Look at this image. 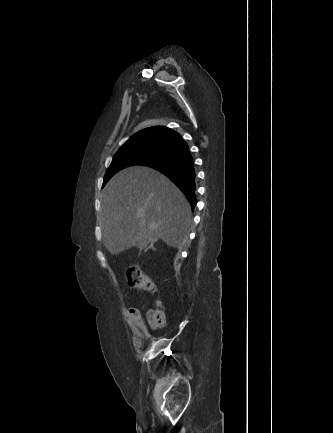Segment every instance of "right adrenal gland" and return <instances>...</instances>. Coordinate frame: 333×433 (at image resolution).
<instances>
[{
    "label": "right adrenal gland",
    "mask_w": 333,
    "mask_h": 433,
    "mask_svg": "<svg viewBox=\"0 0 333 433\" xmlns=\"http://www.w3.org/2000/svg\"><path fill=\"white\" fill-rule=\"evenodd\" d=\"M149 249H154V245L152 243L145 249V252Z\"/></svg>",
    "instance_id": "right-adrenal-gland-1"
}]
</instances>
